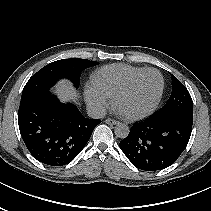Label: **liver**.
Instances as JSON below:
<instances>
[{
	"mask_svg": "<svg viewBox=\"0 0 211 211\" xmlns=\"http://www.w3.org/2000/svg\"><path fill=\"white\" fill-rule=\"evenodd\" d=\"M56 92L62 101L77 99V94L73 91L68 82L62 81L56 86Z\"/></svg>",
	"mask_w": 211,
	"mask_h": 211,
	"instance_id": "obj_1",
	"label": "liver"
}]
</instances>
